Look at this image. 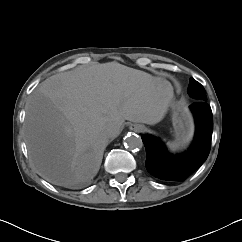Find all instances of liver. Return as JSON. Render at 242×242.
<instances>
[{
    "mask_svg": "<svg viewBox=\"0 0 242 242\" xmlns=\"http://www.w3.org/2000/svg\"><path fill=\"white\" fill-rule=\"evenodd\" d=\"M174 98L169 81L117 62L47 78L26 103L25 140L38 174L61 186L88 182L100 168L107 128L154 125ZM115 138V137H114Z\"/></svg>",
    "mask_w": 242,
    "mask_h": 242,
    "instance_id": "1",
    "label": "liver"
}]
</instances>
